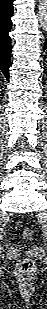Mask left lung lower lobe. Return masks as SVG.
I'll use <instances>...</instances> for the list:
<instances>
[{"mask_svg":"<svg viewBox=\"0 0 47 309\" xmlns=\"http://www.w3.org/2000/svg\"><path fill=\"white\" fill-rule=\"evenodd\" d=\"M45 49H47V40H46V42H45V44H44L43 51H44Z\"/></svg>","mask_w":47,"mask_h":309,"instance_id":"obj_1","label":"left lung lower lobe"}]
</instances>
